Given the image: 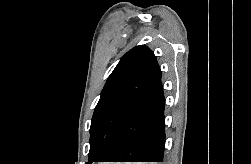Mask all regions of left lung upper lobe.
<instances>
[{
  "mask_svg": "<svg viewBox=\"0 0 251 164\" xmlns=\"http://www.w3.org/2000/svg\"><path fill=\"white\" fill-rule=\"evenodd\" d=\"M160 78L156 57L144 45L134 47L120 59L107 79L92 117L87 164L108 157L126 114Z\"/></svg>",
  "mask_w": 251,
  "mask_h": 164,
  "instance_id": "5c2ea615",
  "label": "left lung upper lobe"
}]
</instances>
